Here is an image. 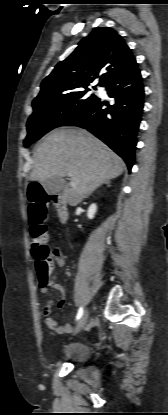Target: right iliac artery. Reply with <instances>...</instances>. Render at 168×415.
<instances>
[{"label": "right iliac artery", "instance_id": "1", "mask_svg": "<svg viewBox=\"0 0 168 415\" xmlns=\"http://www.w3.org/2000/svg\"><path fill=\"white\" fill-rule=\"evenodd\" d=\"M83 315V308L80 307L76 316V320H79Z\"/></svg>", "mask_w": 168, "mask_h": 415}]
</instances>
